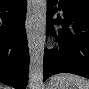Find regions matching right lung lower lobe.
<instances>
[{
  "label": "right lung lower lobe",
  "instance_id": "obj_1",
  "mask_svg": "<svg viewBox=\"0 0 89 89\" xmlns=\"http://www.w3.org/2000/svg\"><path fill=\"white\" fill-rule=\"evenodd\" d=\"M25 17L26 0H0V82L16 89L28 82Z\"/></svg>",
  "mask_w": 89,
  "mask_h": 89
}]
</instances>
